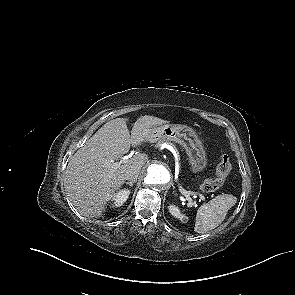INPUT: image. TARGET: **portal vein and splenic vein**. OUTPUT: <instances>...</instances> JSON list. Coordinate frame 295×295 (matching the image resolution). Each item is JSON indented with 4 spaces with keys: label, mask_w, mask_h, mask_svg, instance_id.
<instances>
[{
    "label": "portal vein and splenic vein",
    "mask_w": 295,
    "mask_h": 295,
    "mask_svg": "<svg viewBox=\"0 0 295 295\" xmlns=\"http://www.w3.org/2000/svg\"><path fill=\"white\" fill-rule=\"evenodd\" d=\"M128 160V157L125 156L123 157L119 162H116L114 163L113 161H110V165L112 166V168L116 169V168H119V166L126 162ZM179 191L182 195L186 196V197H189V196H194V198H196L197 196H199V198L201 200H205V197L202 193H199V192H193V191H186L185 189H183L181 186H179Z\"/></svg>",
    "instance_id": "1"
}]
</instances>
